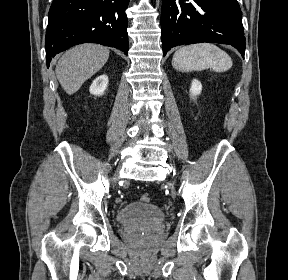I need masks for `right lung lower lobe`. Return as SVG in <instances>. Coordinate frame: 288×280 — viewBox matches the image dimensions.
<instances>
[{
	"label": "right lung lower lobe",
	"mask_w": 288,
	"mask_h": 280,
	"mask_svg": "<svg viewBox=\"0 0 288 280\" xmlns=\"http://www.w3.org/2000/svg\"><path fill=\"white\" fill-rule=\"evenodd\" d=\"M129 0H53L46 30V63L81 43H99L127 54Z\"/></svg>",
	"instance_id": "obj_1"
}]
</instances>
